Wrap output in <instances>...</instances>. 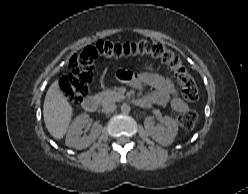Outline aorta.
<instances>
[{
    "label": "aorta",
    "mask_w": 248,
    "mask_h": 194,
    "mask_svg": "<svg viewBox=\"0 0 248 194\" xmlns=\"http://www.w3.org/2000/svg\"><path fill=\"white\" fill-rule=\"evenodd\" d=\"M131 111V107L124 103L121 105V112L124 113V114H128L129 112Z\"/></svg>",
    "instance_id": "obj_1"
}]
</instances>
